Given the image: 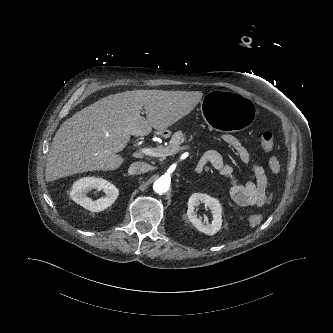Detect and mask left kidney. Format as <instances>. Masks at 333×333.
I'll list each match as a JSON object with an SVG mask.
<instances>
[{"label": "left kidney", "mask_w": 333, "mask_h": 333, "mask_svg": "<svg viewBox=\"0 0 333 333\" xmlns=\"http://www.w3.org/2000/svg\"><path fill=\"white\" fill-rule=\"evenodd\" d=\"M200 203H204L209 207L213 221L209 224L207 221H202L197 217V213L195 212V207L199 206ZM222 208L219 201L215 198L207 194L202 193H194L190 196L188 200V210L187 216L189 221L195 226L200 232H203L208 235L216 234L222 225Z\"/></svg>", "instance_id": "left-kidney-1"}]
</instances>
